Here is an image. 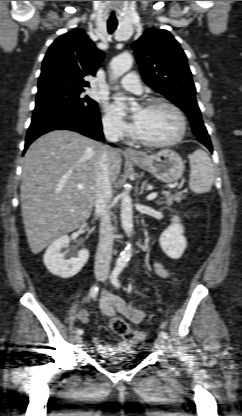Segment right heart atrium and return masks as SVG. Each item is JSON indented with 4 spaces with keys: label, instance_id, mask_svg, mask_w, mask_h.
I'll return each instance as SVG.
<instances>
[{
    "label": "right heart atrium",
    "instance_id": "1",
    "mask_svg": "<svg viewBox=\"0 0 242 416\" xmlns=\"http://www.w3.org/2000/svg\"><path fill=\"white\" fill-rule=\"evenodd\" d=\"M104 131L112 137H122L125 135V129L122 123L111 114H105L102 119Z\"/></svg>",
    "mask_w": 242,
    "mask_h": 416
}]
</instances>
